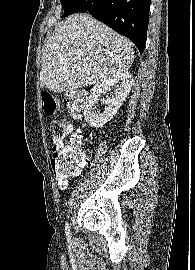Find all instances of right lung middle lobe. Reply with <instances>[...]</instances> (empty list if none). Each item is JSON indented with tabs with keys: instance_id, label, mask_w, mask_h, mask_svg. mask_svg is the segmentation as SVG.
<instances>
[{
	"instance_id": "1",
	"label": "right lung middle lobe",
	"mask_w": 195,
	"mask_h": 270,
	"mask_svg": "<svg viewBox=\"0 0 195 270\" xmlns=\"http://www.w3.org/2000/svg\"><path fill=\"white\" fill-rule=\"evenodd\" d=\"M60 1L64 9V14L62 15V17H66L70 14L75 13L76 6L80 2V0H60Z\"/></svg>"
}]
</instances>
